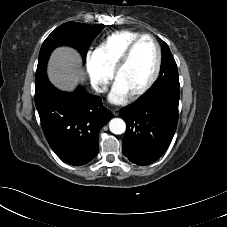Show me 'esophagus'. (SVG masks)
Returning <instances> with one entry per match:
<instances>
[{"mask_svg":"<svg viewBox=\"0 0 227 227\" xmlns=\"http://www.w3.org/2000/svg\"><path fill=\"white\" fill-rule=\"evenodd\" d=\"M112 113H113L114 116H118L119 110L118 109H114V110H112Z\"/></svg>","mask_w":227,"mask_h":227,"instance_id":"1","label":"esophagus"}]
</instances>
